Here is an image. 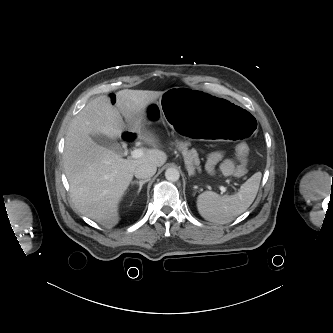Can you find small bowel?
Listing matches in <instances>:
<instances>
[{"instance_id": "c3829d8e", "label": "small bowel", "mask_w": 333, "mask_h": 333, "mask_svg": "<svg viewBox=\"0 0 333 333\" xmlns=\"http://www.w3.org/2000/svg\"><path fill=\"white\" fill-rule=\"evenodd\" d=\"M109 100L112 102V103H115L116 101V97L115 95H110L109 96ZM221 159V154L216 152V153H212L210 156H209V165L210 166H214L219 160ZM233 167H234V163L233 161L231 160H227L225 161L222 165H221V170L225 173V174H229L232 172L233 170Z\"/></svg>"}]
</instances>
